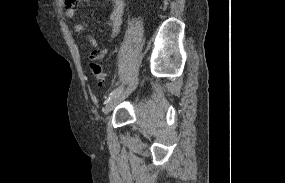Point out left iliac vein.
<instances>
[{
    "label": "left iliac vein",
    "instance_id": "4c4485c4",
    "mask_svg": "<svg viewBox=\"0 0 285 183\" xmlns=\"http://www.w3.org/2000/svg\"><path fill=\"white\" fill-rule=\"evenodd\" d=\"M137 82L138 78L134 77L126 89H122L119 93L110 98L104 108V113L109 114L119 102H121L133 91Z\"/></svg>",
    "mask_w": 285,
    "mask_h": 183
}]
</instances>
